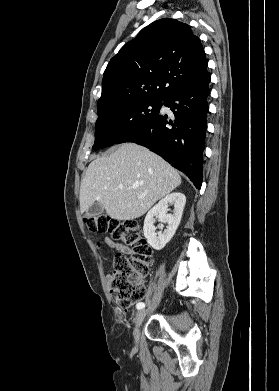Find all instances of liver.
I'll list each match as a JSON object with an SVG mask.
<instances>
[{"label":"liver","instance_id":"1","mask_svg":"<svg viewBox=\"0 0 279 391\" xmlns=\"http://www.w3.org/2000/svg\"><path fill=\"white\" fill-rule=\"evenodd\" d=\"M180 184L179 173L160 156L124 143L89 164L80 186V210L97 202L113 219L133 220Z\"/></svg>","mask_w":279,"mask_h":391}]
</instances>
